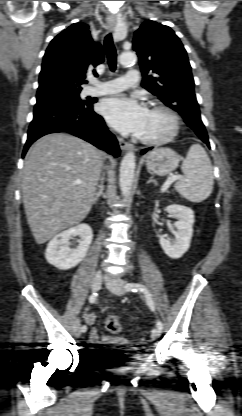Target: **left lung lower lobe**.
<instances>
[{"mask_svg": "<svg viewBox=\"0 0 242 416\" xmlns=\"http://www.w3.org/2000/svg\"><path fill=\"white\" fill-rule=\"evenodd\" d=\"M204 143H206L207 144V146L208 147H210V144H209V141H208V136H202V137H199ZM148 149H152V147L151 148H148ZM148 149H144L143 151H142V153L141 154H144Z\"/></svg>", "mask_w": 242, "mask_h": 416, "instance_id": "obj_1", "label": "left lung lower lobe"}]
</instances>
